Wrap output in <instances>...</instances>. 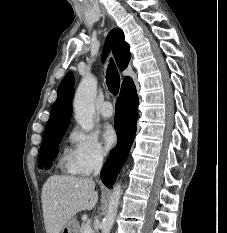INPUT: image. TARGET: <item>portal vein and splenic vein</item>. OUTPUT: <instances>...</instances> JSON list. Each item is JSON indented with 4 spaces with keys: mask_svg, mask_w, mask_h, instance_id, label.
<instances>
[{
    "mask_svg": "<svg viewBox=\"0 0 227 233\" xmlns=\"http://www.w3.org/2000/svg\"><path fill=\"white\" fill-rule=\"evenodd\" d=\"M83 233H93L92 228L89 225H86L83 229Z\"/></svg>",
    "mask_w": 227,
    "mask_h": 233,
    "instance_id": "18ae733b",
    "label": "portal vein and splenic vein"
}]
</instances>
